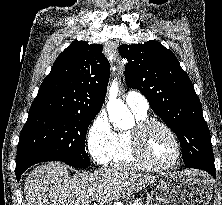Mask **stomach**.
I'll list each match as a JSON object with an SVG mask.
<instances>
[{"label":"stomach","instance_id":"1","mask_svg":"<svg viewBox=\"0 0 222 205\" xmlns=\"http://www.w3.org/2000/svg\"><path fill=\"white\" fill-rule=\"evenodd\" d=\"M212 186L196 171H182L161 178L147 198V205H209Z\"/></svg>","mask_w":222,"mask_h":205}]
</instances>
